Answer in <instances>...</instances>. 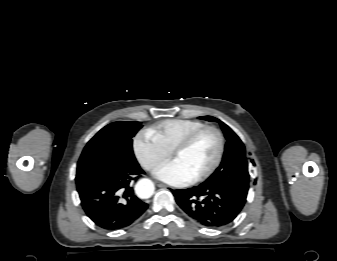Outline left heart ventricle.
<instances>
[{"label": "left heart ventricle", "mask_w": 337, "mask_h": 261, "mask_svg": "<svg viewBox=\"0 0 337 261\" xmlns=\"http://www.w3.org/2000/svg\"><path fill=\"white\" fill-rule=\"evenodd\" d=\"M218 137L214 132L201 134L184 152L178 154L174 160L194 178L207 170L214 162L218 152Z\"/></svg>", "instance_id": "b2bd125f"}]
</instances>
